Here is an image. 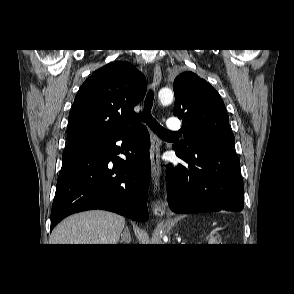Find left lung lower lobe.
I'll return each mask as SVG.
<instances>
[{
    "label": "left lung lower lobe",
    "instance_id": "left-lung-lower-lobe-1",
    "mask_svg": "<svg viewBox=\"0 0 294 294\" xmlns=\"http://www.w3.org/2000/svg\"><path fill=\"white\" fill-rule=\"evenodd\" d=\"M188 165L168 166L167 201L175 213L241 211L244 207L240 161L233 148L193 144L173 145Z\"/></svg>",
    "mask_w": 294,
    "mask_h": 294
}]
</instances>
